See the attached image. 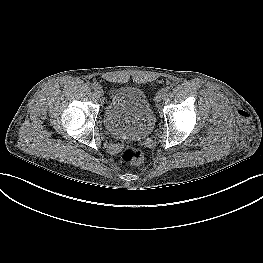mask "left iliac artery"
<instances>
[{
  "label": "left iliac artery",
  "mask_w": 263,
  "mask_h": 263,
  "mask_svg": "<svg viewBox=\"0 0 263 263\" xmlns=\"http://www.w3.org/2000/svg\"><path fill=\"white\" fill-rule=\"evenodd\" d=\"M168 94V91L166 89H163L161 92H160V95L162 97H165L166 95Z\"/></svg>",
  "instance_id": "obj_1"
}]
</instances>
